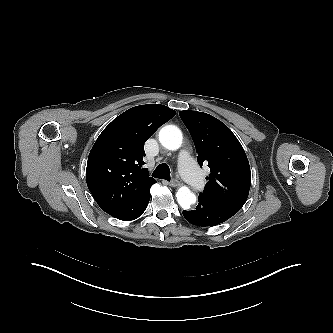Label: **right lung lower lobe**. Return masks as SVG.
Wrapping results in <instances>:
<instances>
[{
  "mask_svg": "<svg viewBox=\"0 0 333 333\" xmlns=\"http://www.w3.org/2000/svg\"><path fill=\"white\" fill-rule=\"evenodd\" d=\"M150 190L135 199L133 204L128 208L125 214L113 216L123 221H130L138 218L146 209L150 200Z\"/></svg>",
  "mask_w": 333,
  "mask_h": 333,
  "instance_id": "1",
  "label": "right lung lower lobe"
}]
</instances>
